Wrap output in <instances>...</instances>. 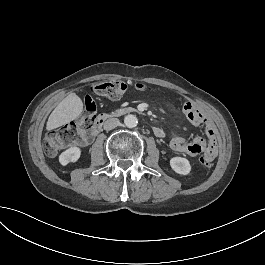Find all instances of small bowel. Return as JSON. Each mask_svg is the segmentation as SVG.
Segmentation results:
<instances>
[{"instance_id": "small-bowel-1", "label": "small bowel", "mask_w": 265, "mask_h": 265, "mask_svg": "<svg viewBox=\"0 0 265 265\" xmlns=\"http://www.w3.org/2000/svg\"><path fill=\"white\" fill-rule=\"evenodd\" d=\"M182 112L186 118L195 126L205 125L206 133L209 138L208 143L203 138L196 137L192 140H187L180 136L173 137L169 142V147L173 152L196 156H203L212 162L217 157V142L212 123L207 117L191 102H185L182 105Z\"/></svg>"}]
</instances>
